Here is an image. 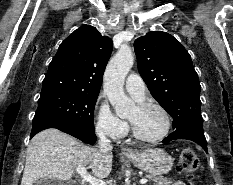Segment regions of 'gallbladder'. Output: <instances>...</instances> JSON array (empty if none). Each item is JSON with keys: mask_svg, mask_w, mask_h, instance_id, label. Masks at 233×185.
<instances>
[{"mask_svg": "<svg viewBox=\"0 0 233 185\" xmlns=\"http://www.w3.org/2000/svg\"><path fill=\"white\" fill-rule=\"evenodd\" d=\"M38 185H76L72 181H61L59 179H44Z\"/></svg>", "mask_w": 233, "mask_h": 185, "instance_id": "obj_1", "label": "gallbladder"}]
</instances>
